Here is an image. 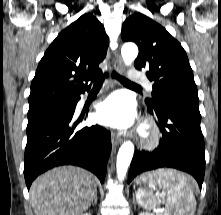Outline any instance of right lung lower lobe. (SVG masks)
I'll return each mask as SVG.
<instances>
[{
	"label": "right lung lower lobe",
	"instance_id": "obj_1",
	"mask_svg": "<svg viewBox=\"0 0 221 215\" xmlns=\"http://www.w3.org/2000/svg\"><path fill=\"white\" fill-rule=\"evenodd\" d=\"M80 97L28 118L24 177L27 188L41 173L60 165H77L104 181L111 151L110 132L101 126L76 127L74 112Z\"/></svg>",
	"mask_w": 221,
	"mask_h": 215
}]
</instances>
